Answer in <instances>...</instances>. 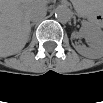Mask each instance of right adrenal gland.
<instances>
[{
	"instance_id": "right-adrenal-gland-1",
	"label": "right adrenal gland",
	"mask_w": 103,
	"mask_h": 103,
	"mask_svg": "<svg viewBox=\"0 0 103 103\" xmlns=\"http://www.w3.org/2000/svg\"><path fill=\"white\" fill-rule=\"evenodd\" d=\"M33 26H34V23L30 24V32Z\"/></svg>"
}]
</instances>
